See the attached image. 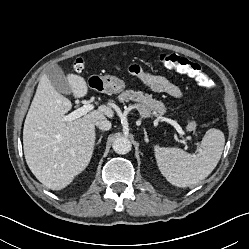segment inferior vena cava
I'll use <instances>...</instances> for the list:
<instances>
[{"mask_svg": "<svg viewBox=\"0 0 249 249\" xmlns=\"http://www.w3.org/2000/svg\"><path fill=\"white\" fill-rule=\"evenodd\" d=\"M95 125L102 131H107L111 128V122L106 117L97 120Z\"/></svg>", "mask_w": 249, "mask_h": 249, "instance_id": "1", "label": "inferior vena cava"}]
</instances>
